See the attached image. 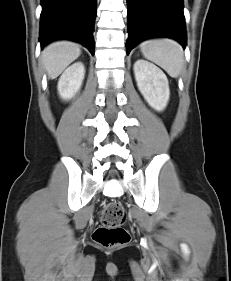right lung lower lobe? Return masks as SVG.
Returning <instances> with one entry per match:
<instances>
[{"label": "right lung lower lobe", "mask_w": 231, "mask_h": 281, "mask_svg": "<svg viewBox=\"0 0 231 281\" xmlns=\"http://www.w3.org/2000/svg\"><path fill=\"white\" fill-rule=\"evenodd\" d=\"M41 48L58 39L83 44L94 54L96 0H41Z\"/></svg>", "instance_id": "98d812e1"}]
</instances>
